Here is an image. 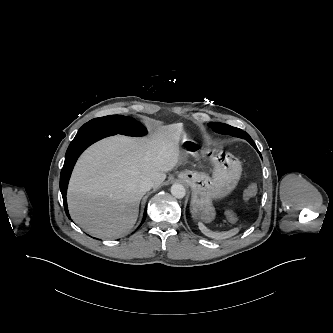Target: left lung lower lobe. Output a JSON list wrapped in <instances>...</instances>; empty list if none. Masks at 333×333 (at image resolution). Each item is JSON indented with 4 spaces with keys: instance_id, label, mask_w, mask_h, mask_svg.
Masks as SVG:
<instances>
[{
    "instance_id": "1",
    "label": "left lung lower lobe",
    "mask_w": 333,
    "mask_h": 333,
    "mask_svg": "<svg viewBox=\"0 0 333 333\" xmlns=\"http://www.w3.org/2000/svg\"><path fill=\"white\" fill-rule=\"evenodd\" d=\"M247 141L258 151L257 146L251 138H247Z\"/></svg>"
}]
</instances>
